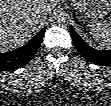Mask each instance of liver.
Here are the masks:
<instances>
[{"instance_id":"1","label":"liver","mask_w":111,"mask_h":106,"mask_svg":"<svg viewBox=\"0 0 111 106\" xmlns=\"http://www.w3.org/2000/svg\"><path fill=\"white\" fill-rule=\"evenodd\" d=\"M57 0H1L0 49L9 51L23 45L51 13ZM38 14L41 16L38 17Z\"/></svg>"}]
</instances>
